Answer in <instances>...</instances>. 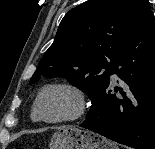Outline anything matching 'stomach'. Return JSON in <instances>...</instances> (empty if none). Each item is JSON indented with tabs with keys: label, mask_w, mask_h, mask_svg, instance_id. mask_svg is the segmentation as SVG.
Listing matches in <instances>:
<instances>
[{
	"label": "stomach",
	"mask_w": 155,
	"mask_h": 149,
	"mask_svg": "<svg viewBox=\"0 0 155 149\" xmlns=\"http://www.w3.org/2000/svg\"><path fill=\"white\" fill-rule=\"evenodd\" d=\"M50 149H118V147L92 131L76 127H61L53 135Z\"/></svg>",
	"instance_id": "stomach-1"
}]
</instances>
